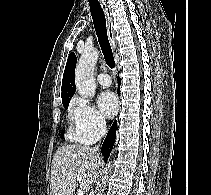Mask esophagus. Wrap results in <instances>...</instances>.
Segmentation results:
<instances>
[{"label":"esophagus","instance_id":"34e87169","mask_svg":"<svg viewBox=\"0 0 211 195\" xmlns=\"http://www.w3.org/2000/svg\"><path fill=\"white\" fill-rule=\"evenodd\" d=\"M102 7H103L105 17H106L108 38H109L113 51H115L117 47V43L115 39V32L113 29V16L111 13V9L107 2H103Z\"/></svg>","mask_w":211,"mask_h":195}]
</instances>
